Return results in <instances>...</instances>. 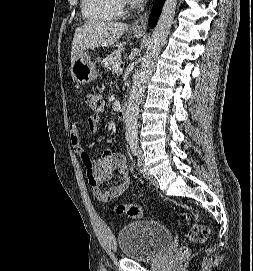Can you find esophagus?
Masks as SVG:
<instances>
[{
  "mask_svg": "<svg viewBox=\"0 0 253 271\" xmlns=\"http://www.w3.org/2000/svg\"><path fill=\"white\" fill-rule=\"evenodd\" d=\"M151 13V7L140 15L132 24V30L135 33L145 34L147 31L148 18Z\"/></svg>",
  "mask_w": 253,
  "mask_h": 271,
  "instance_id": "obj_1",
  "label": "esophagus"
}]
</instances>
